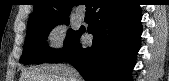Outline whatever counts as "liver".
Returning a JSON list of instances; mask_svg holds the SVG:
<instances>
[{
	"mask_svg": "<svg viewBox=\"0 0 169 81\" xmlns=\"http://www.w3.org/2000/svg\"><path fill=\"white\" fill-rule=\"evenodd\" d=\"M70 70L66 64H43L25 70L20 81H72ZM78 81H82L80 75Z\"/></svg>",
	"mask_w": 169,
	"mask_h": 81,
	"instance_id": "1",
	"label": "liver"
}]
</instances>
